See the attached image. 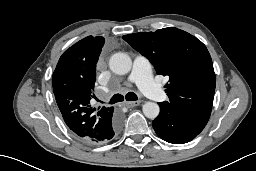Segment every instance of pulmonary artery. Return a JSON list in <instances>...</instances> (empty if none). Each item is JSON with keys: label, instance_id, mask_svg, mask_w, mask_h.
Returning a JSON list of instances; mask_svg holds the SVG:
<instances>
[{"label": "pulmonary artery", "instance_id": "obj_1", "mask_svg": "<svg viewBox=\"0 0 256 171\" xmlns=\"http://www.w3.org/2000/svg\"><path fill=\"white\" fill-rule=\"evenodd\" d=\"M128 79L135 82L140 90L152 100L160 102L165 98L164 91L153 81L151 65L147 58L137 56L134 59L132 71Z\"/></svg>", "mask_w": 256, "mask_h": 171}]
</instances>
